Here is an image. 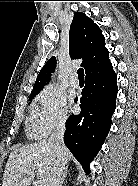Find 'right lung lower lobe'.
<instances>
[{
  "instance_id": "obj_1",
  "label": "right lung lower lobe",
  "mask_w": 138,
  "mask_h": 186,
  "mask_svg": "<svg viewBox=\"0 0 138 186\" xmlns=\"http://www.w3.org/2000/svg\"><path fill=\"white\" fill-rule=\"evenodd\" d=\"M117 92L115 73L85 79V87L78 99L81 112L67 120L64 143L88 174L89 165L110 130Z\"/></svg>"
}]
</instances>
